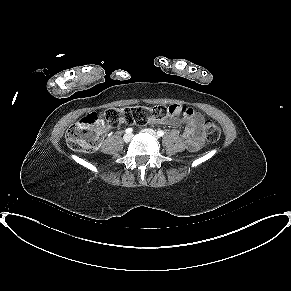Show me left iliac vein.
<instances>
[{"label":"left iliac vein","mask_w":291,"mask_h":291,"mask_svg":"<svg viewBox=\"0 0 291 291\" xmlns=\"http://www.w3.org/2000/svg\"><path fill=\"white\" fill-rule=\"evenodd\" d=\"M142 132L151 135L155 139H158V136L156 135L155 131L152 129H144L142 130Z\"/></svg>","instance_id":"obj_1"}]
</instances>
